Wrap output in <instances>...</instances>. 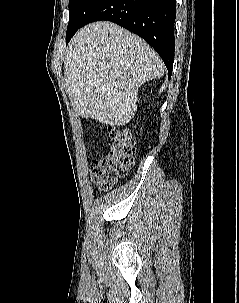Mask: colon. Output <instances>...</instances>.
<instances>
[{
    "instance_id": "colon-1",
    "label": "colon",
    "mask_w": 239,
    "mask_h": 303,
    "mask_svg": "<svg viewBox=\"0 0 239 303\" xmlns=\"http://www.w3.org/2000/svg\"><path fill=\"white\" fill-rule=\"evenodd\" d=\"M110 146L108 156L94 161L91 165L92 179L102 191L111 189L117 178L125 176L132 168L135 137L128 130L112 129Z\"/></svg>"
}]
</instances>
